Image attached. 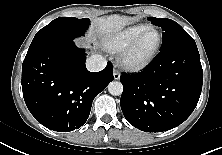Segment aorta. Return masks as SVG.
I'll list each match as a JSON object with an SVG mask.
<instances>
[{"instance_id":"obj_1","label":"aorta","mask_w":222,"mask_h":155,"mask_svg":"<svg viewBox=\"0 0 222 155\" xmlns=\"http://www.w3.org/2000/svg\"><path fill=\"white\" fill-rule=\"evenodd\" d=\"M108 91L113 96H119L123 92V85L121 82L112 81L108 85Z\"/></svg>"}]
</instances>
